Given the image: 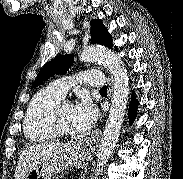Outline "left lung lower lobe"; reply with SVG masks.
I'll return each mask as SVG.
<instances>
[{"instance_id":"obj_1","label":"left lung lower lobe","mask_w":183,"mask_h":179,"mask_svg":"<svg viewBox=\"0 0 183 179\" xmlns=\"http://www.w3.org/2000/svg\"><path fill=\"white\" fill-rule=\"evenodd\" d=\"M116 51H117V48H116ZM136 110H137V101H136V98L134 97V94H132V99H131L129 112H128L130 123L133 122V120L135 119Z\"/></svg>"}]
</instances>
